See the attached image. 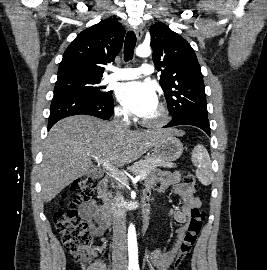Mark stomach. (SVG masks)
<instances>
[{"label": "stomach", "mask_w": 267, "mask_h": 270, "mask_svg": "<svg viewBox=\"0 0 267 270\" xmlns=\"http://www.w3.org/2000/svg\"><path fill=\"white\" fill-rule=\"evenodd\" d=\"M155 156L164 161H175L183 153V144L174 135H166L154 146Z\"/></svg>", "instance_id": "obj_1"}]
</instances>
